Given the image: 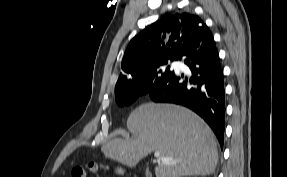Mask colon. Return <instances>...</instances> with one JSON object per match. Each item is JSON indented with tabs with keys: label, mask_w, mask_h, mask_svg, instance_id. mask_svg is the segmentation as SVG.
Returning a JSON list of instances; mask_svg holds the SVG:
<instances>
[{
	"label": "colon",
	"mask_w": 287,
	"mask_h": 177,
	"mask_svg": "<svg viewBox=\"0 0 287 177\" xmlns=\"http://www.w3.org/2000/svg\"><path fill=\"white\" fill-rule=\"evenodd\" d=\"M107 167L99 163H91L87 168H75L72 171L73 177H91L98 170H105Z\"/></svg>",
	"instance_id": "1"
}]
</instances>
